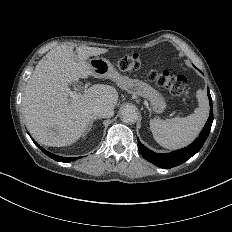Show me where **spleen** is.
Here are the masks:
<instances>
[{
    "instance_id": "3e777b00",
    "label": "spleen",
    "mask_w": 232,
    "mask_h": 232,
    "mask_svg": "<svg viewBox=\"0 0 232 232\" xmlns=\"http://www.w3.org/2000/svg\"><path fill=\"white\" fill-rule=\"evenodd\" d=\"M200 108L196 115L174 117L165 120L157 117L150 119V129L156 142L163 147L175 149L188 145L194 140L208 117V99L206 92L198 91Z\"/></svg>"
}]
</instances>
